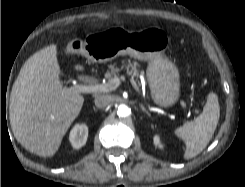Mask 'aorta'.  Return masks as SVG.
Returning a JSON list of instances; mask_svg holds the SVG:
<instances>
[{
	"mask_svg": "<svg viewBox=\"0 0 245 187\" xmlns=\"http://www.w3.org/2000/svg\"><path fill=\"white\" fill-rule=\"evenodd\" d=\"M129 113H130V109L126 105L121 104L118 106L117 115L119 117H126L129 115Z\"/></svg>",
	"mask_w": 245,
	"mask_h": 187,
	"instance_id": "obj_1",
	"label": "aorta"
}]
</instances>
